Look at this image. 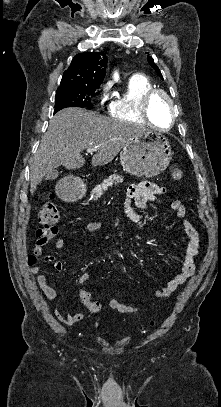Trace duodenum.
Masks as SVG:
<instances>
[{"instance_id":"duodenum-1","label":"duodenum","mask_w":221,"mask_h":407,"mask_svg":"<svg viewBox=\"0 0 221 407\" xmlns=\"http://www.w3.org/2000/svg\"><path fill=\"white\" fill-rule=\"evenodd\" d=\"M67 194H68V190H66V189H63L62 191H61V195H62V197H66L67 196Z\"/></svg>"}]
</instances>
